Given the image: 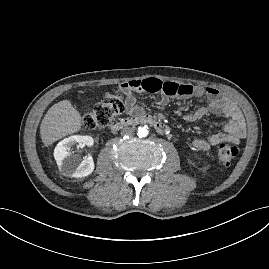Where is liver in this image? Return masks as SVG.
<instances>
[{"instance_id":"obj_1","label":"liver","mask_w":269,"mask_h":269,"mask_svg":"<svg viewBox=\"0 0 269 269\" xmlns=\"http://www.w3.org/2000/svg\"><path fill=\"white\" fill-rule=\"evenodd\" d=\"M82 117L70 100L54 104L44 116L40 126V137L45 146L81 129Z\"/></svg>"}]
</instances>
